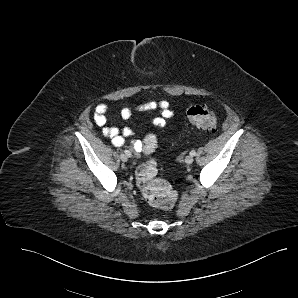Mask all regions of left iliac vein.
I'll list each match as a JSON object with an SVG mask.
<instances>
[{
	"instance_id": "1",
	"label": "left iliac vein",
	"mask_w": 298,
	"mask_h": 298,
	"mask_svg": "<svg viewBox=\"0 0 298 298\" xmlns=\"http://www.w3.org/2000/svg\"><path fill=\"white\" fill-rule=\"evenodd\" d=\"M193 160H194L193 156H191V155H188V156L185 157V163L186 164H192Z\"/></svg>"
}]
</instances>
